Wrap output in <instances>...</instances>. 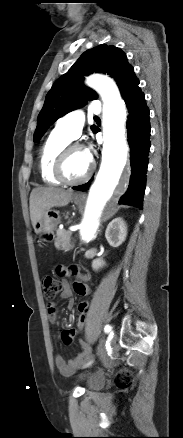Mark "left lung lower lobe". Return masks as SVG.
<instances>
[{"instance_id":"left-lung-lower-lobe-1","label":"left lung lower lobe","mask_w":183,"mask_h":438,"mask_svg":"<svg viewBox=\"0 0 183 438\" xmlns=\"http://www.w3.org/2000/svg\"><path fill=\"white\" fill-rule=\"evenodd\" d=\"M139 80L135 77L122 92V97L129 110L127 120L128 143L130 146L131 178L126 193L120 204H128L142 209V200L146 186L148 152L150 149L149 110L145 96L140 90ZM98 130L95 131V133ZM92 179L83 185L72 187L74 190L86 191Z\"/></svg>"}]
</instances>
